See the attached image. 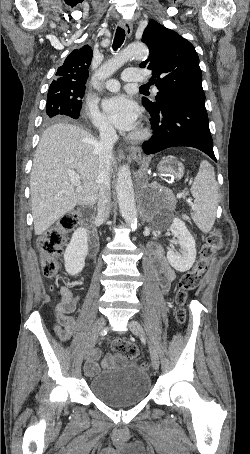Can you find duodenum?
Instances as JSON below:
<instances>
[{
  "label": "duodenum",
  "mask_w": 250,
  "mask_h": 454,
  "mask_svg": "<svg viewBox=\"0 0 250 454\" xmlns=\"http://www.w3.org/2000/svg\"><path fill=\"white\" fill-rule=\"evenodd\" d=\"M82 220H83L84 226L86 227V229L88 231L90 250H91V252H94L96 250L97 243H98V234L93 225V217H92L91 209H85L82 212Z\"/></svg>",
  "instance_id": "1"
}]
</instances>
